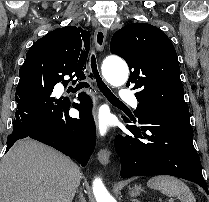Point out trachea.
I'll use <instances>...</instances> for the list:
<instances>
[{
    "instance_id": "1",
    "label": "trachea",
    "mask_w": 209,
    "mask_h": 202,
    "mask_svg": "<svg viewBox=\"0 0 209 202\" xmlns=\"http://www.w3.org/2000/svg\"><path fill=\"white\" fill-rule=\"evenodd\" d=\"M91 70L92 73L89 75V77L92 80H95L97 83L98 88L103 93V95L108 99L111 103H117V104H123L111 91L110 89L105 85V83L102 81V78L99 75L97 64H96V58L94 55L91 56ZM78 87L84 88L89 87L90 84L88 82L81 81L77 84Z\"/></svg>"
}]
</instances>
